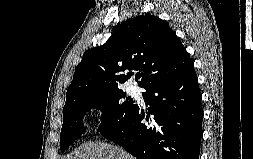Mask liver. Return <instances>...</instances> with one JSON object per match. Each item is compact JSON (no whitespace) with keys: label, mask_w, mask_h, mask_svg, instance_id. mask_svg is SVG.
Listing matches in <instances>:
<instances>
[{"label":"liver","mask_w":253,"mask_h":159,"mask_svg":"<svg viewBox=\"0 0 253 159\" xmlns=\"http://www.w3.org/2000/svg\"><path fill=\"white\" fill-rule=\"evenodd\" d=\"M66 159H136L123 148L103 142H88L74 150Z\"/></svg>","instance_id":"obj_1"}]
</instances>
